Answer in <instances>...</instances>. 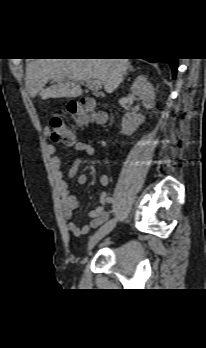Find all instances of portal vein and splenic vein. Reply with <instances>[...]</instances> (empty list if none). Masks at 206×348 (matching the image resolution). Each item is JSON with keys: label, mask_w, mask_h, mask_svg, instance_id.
Segmentation results:
<instances>
[{"label": "portal vein and splenic vein", "mask_w": 206, "mask_h": 348, "mask_svg": "<svg viewBox=\"0 0 206 348\" xmlns=\"http://www.w3.org/2000/svg\"><path fill=\"white\" fill-rule=\"evenodd\" d=\"M102 83L99 80H88L86 81V86L92 90H98L101 87Z\"/></svg>", "instance_id": "18ae733b"}]
</instances>
